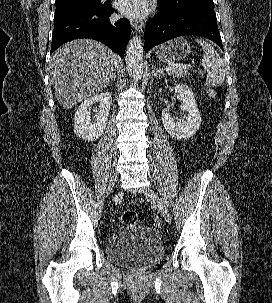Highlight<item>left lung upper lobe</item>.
<instances>
[{
	"instance_id": "left-lung-upper-lobe-1",
	"label": "left lung upper lobe",
	"mask_w": 272,
	"mask_h": 303,
	"mask_svg": "<svg viewBox=\"0 0 272 303\" xmlns=\"http://www.w3.org/2000/svg\"><path fill=\"white\" fill-rule=\"evenodd\" d=\"M159 6L171 13L189 9L214 10L213 0H159Z\"/></svg>"
}]
</instances>
